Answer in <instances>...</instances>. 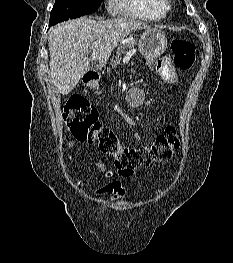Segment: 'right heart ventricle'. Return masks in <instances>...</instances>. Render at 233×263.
<instances>
[{
	"label": "right heart ventricle",
	"mask_w": 233,
	"mask_h": 263,
	"mask_svg": "<svg viewBox=\"0 0 233 263\" xmlns=\"http://www.w3.org/2000/svg\"><path fill=\"white\" fill-rule=\"evenodd\" d=\"M115 4L125 15L142 20H159L166 13L163 0H115Z\"/></svg>",
	"instance_id": "1"
}]
</instances>
